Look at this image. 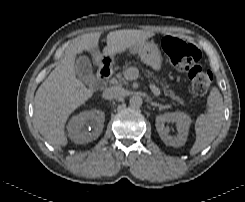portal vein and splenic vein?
Returning <instances> with one entry per match:
<instances>
[{
    "mask_svg": "<svg viewBox=\"0 0 245 202\" xmlns=\"http://www.w3.org/2000/svg\"><path fill=\"white\" fill-rule=\"evenodd\" d=\"M139 76V71L137 68L135 67H130L128 68L125 73H124V77L126 80H136ZM151 90L154 93V95L159 96L160 95V90L155 86V85H151Z\"/></svg>",
    "mask_w": 245,
    "mask_h": 202,
    "instance_id": "1",
    "label": "portal vein and splenic vein"
}]
</instances>
